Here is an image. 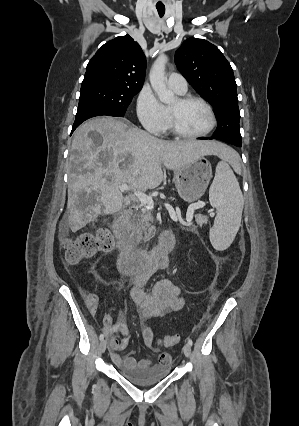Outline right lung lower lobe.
Listing matches in <instances>:
<instances>
[{
	"label": "right lung lower lobe",
	"instance_id": "98d812e1",
	"mask_svg": "<svg viewBox=\"0 0 299 426\" xmlns=\"http://www.w3.org/2000/svg\"><path fill=\"white\" fill-rule=\"evenodd\" d=\"M101 115H108V116H120L122 117V114L114 112L110 108L102 107V106H86L84 108L78 109L75 122L72 128V132L85 120L95 117V116H101ZM71 132V133H72Z\"/></svg>",
	"mask_w": 299,
	"mask_h": 426
}]
</instances>
